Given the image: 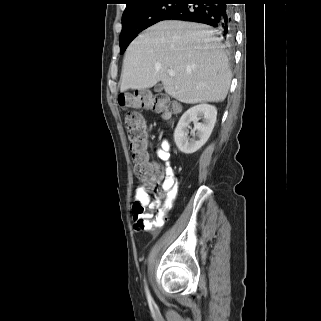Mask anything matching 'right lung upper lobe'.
<instances>
[{"label": "right lung upper lobe", "instance_id": "1", "mask_svg": "<svg viewBox=\"0 0 321 321\" xmlns=\"http://www.w3.org/2000/svg\"><path fill=\"white\" fill-rule=\"evenodd\" d=\"M126 9L123 13L122 16H125L129 13H131L133 10L143 6L144 4H146L149 1H153V0H126Z\"/></svg>", "mask_w": 321, "mask_h": 321}]
</instances>
